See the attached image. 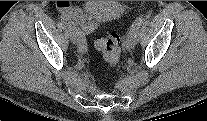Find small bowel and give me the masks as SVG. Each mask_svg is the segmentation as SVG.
Segmentation results:
<instances>
[{"mask_svg": "<svg viewBox=\"0 0 207 121\" xmlns=\"http://www.w3.org/2000/svg\"><path fill=\"white\" fill-rule=\"evenodd\" d=\"M56 5L57 8L70 20L77 21L80 24L82 30L86 32L92 30V25L83 18L80 10L76 6L72 5L68 1H57Z\"/></svg>", "mask_w": 207, "mask_h": 121, "instance_id": "c3829d8e", "label": "small bowel"}]
</instances>
